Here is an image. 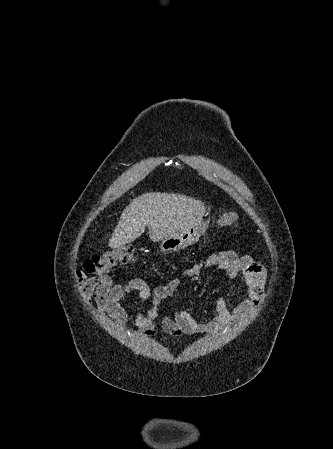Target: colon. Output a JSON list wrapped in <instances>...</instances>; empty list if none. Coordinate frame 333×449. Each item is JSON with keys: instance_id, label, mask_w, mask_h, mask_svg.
Returning a JSON list of instances; mask_svg holds the SVG:
<instances>
[{"instance_id": "5ec220e1", "label": "colon", "mask_w": 333, "mask_h": 449, "mask_svg": "<svg viewBox=\"0 0 333 449\" xmlns=\"http://www.w3.org/2000/svg\"><path fill=\"white\" fill-rule=\"evenodd\" d=\"M239 218L236 212H227L217 221L219 227L233 224ZM136 260V253L131 246H119L107 250L101 254L94 255L86 261L85 271L89 273L103 274L116 267L118 264H131Z\"/></svg>"}]
</instances>
